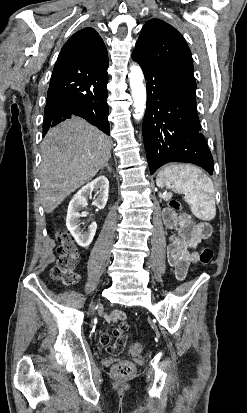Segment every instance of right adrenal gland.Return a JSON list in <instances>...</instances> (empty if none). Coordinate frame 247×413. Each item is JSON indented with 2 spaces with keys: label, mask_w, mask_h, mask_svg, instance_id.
Returning a JSON list of instances; mask_svg holds the SVG:
<instances>
[{
  "label": "right adrenal gland",
  "mask_w": 247,
  "mask_h": 413,
  "mask_svg": "<svg viewBox=\"0 0 247 413\" xmlns=\"http://www.w3.org/2000/svg\"><path fill=\"white\" fill-rule=\"evenodd\" d=\"M108 160H109V158H108ZM108 160H105L104 164H102V166H100V168H101V170H103L104 166H106L107 170H110V172H111L112 168H110Z\"/></svg>",
  "instance_id": "obj_1"
}]
</instances>
